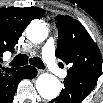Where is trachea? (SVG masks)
I'll return each instance as SVG.
<instances>
[{
  "label": "trachea",
  "instance_id": "obj_1",
  "mask_svg": "<svg viewBox=\"0 0 103 103\" xmlns=\"http://www.w3.org/2000/svg\"><path fill=\"white\" fill-rule=\"evenodd\" d=\"M28 62L39 69L45 68L43 62L41 61L39 57H33V58L28 59V56L24 54L17 55L13 59V61L10 63V65L18 67V66L26 65Z\"/></svg>",
  "mask_w": 103,
  "mask_h": 103
}]
</instances>
